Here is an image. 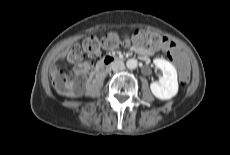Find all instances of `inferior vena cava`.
Returning <instances> with one entry per match:
<instances>
[{
	"label": "inferior vena cava",
	"mask_w": 230,
	"mask_h": 155,
	"mask_svg": "<svg viewBox=\"0 0 230 155\" xmlns=\"http://www.w3.org/2000/svg\"><path fill=\"white\" fill-rule=\"evenodd\" d=\"M110 68L113 71H118V70H122L124 68V63L122 61H114L111 65Z\"/></svg>",
	"instance_id": "602c4592"
}]
</instances>
